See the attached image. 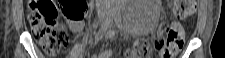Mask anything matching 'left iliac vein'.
<instances>
[{"label": "left iliac vein", "mask_w": 225, "mask_h": 58, "mask_svg": "<svg viewBox=\"0 0 225 58\" xmlns=\"http://www.w3.org/2000/svg\"><path fill=\"white\" fill-rule=\"evenodd\" d=\"M113 32H114V31H113L112 29L109 30V33H110V34L113 33ZM111 36H112V35H111Z\"/></svg>", "instance_id": "obj_1"}]
</instances>
